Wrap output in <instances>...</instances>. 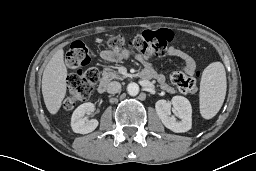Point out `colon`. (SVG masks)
Here are the masks:
<instances>
[{"mask_svg": "<svg viewBox=\"0 0 256 171\" xmlns=\"http://www.w3.org/2000/svg\"><path fill=\"white\" fill-rule=\"evenodd\" d=\"M172 37L169 29H146L132 37L112 35L108 38V47L113 51L128 47L133 53L140 54L144 58L163 56ZM91 57L92 51L85 42L75 41L71 44L66 55V63L72 71L64 100L66 109H73L78 103L86 101L96 85L98 71L95 68H86ZM198 77V72L192 76L182 71H175L171 75V81L180 92L188 94L197 91Z\"/></svg>", "mask_w": 256, "mask_h": 171, "instance_id": "obj_1", "label": "colon"}]
</instances>
